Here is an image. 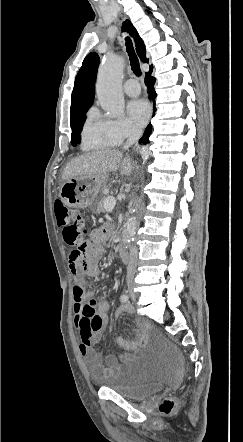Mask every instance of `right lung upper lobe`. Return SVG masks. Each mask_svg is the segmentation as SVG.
Listing matches in <instances>:
<instances>
[{"mask_svg": "<svg viewBox=\"0 0 243 442\" xmlns=\"http://www.w3.org/2000/svg\"><path fill=\"white\" fill-rule=\"evenodd\" d=\"M127 32L133 39L137 53L142 62H148L146 59L145 45L133 27L130 21L124 22ZM99 65V56L97 53H90L83 61L74 83V89L71 95L70 122L73 123L79 117L86 113L92 105L95 93V80Z\"/></svg>", "mask_w": 243, "mask_h": 442, "instance_id": "obj_1", "label": "right lung upper lobe"}]
</instances>
